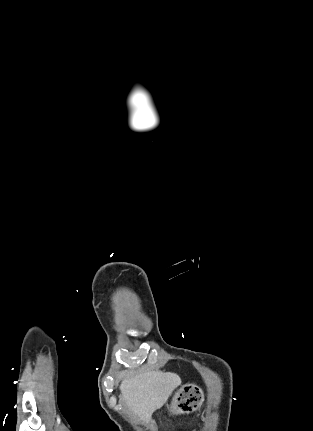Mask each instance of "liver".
Returning a JSON list of instances; mask_svg holds the SVG:
<instances>
[{
	"mask_svg": "<svg viewBox=\"0 0 313 431\" xmlns=\"http://www.w3.org/2000/svg\"><path fill=\"white\" fill-rule=\"evenodd\" d=\"M180 384V377L174 373L142 372L122 381L120 397L147 424L152 414L166 403Z\"/></svg>",
	"mask_w": 313,
	"mask_h": 431,
	"instance_id": "1",
	"label": "liver"
}]
</instances>
